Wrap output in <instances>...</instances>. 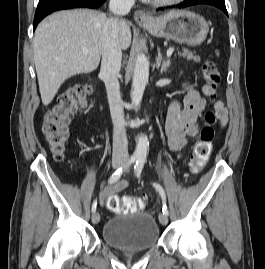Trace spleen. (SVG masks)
Here are the masks:
<instances>
[{"instance_id":"spleen-1","label":"spleen","mask_w":265,"mask_h":269,"mask_svg":"<svg viewBox=\"0 0 265 269\" xmlns=\"http://www.w3.org/2000/svg\"><path fill=\"white\" fill-rule=\"evenodd\" d=\"M216 55L219 56V53L216 51Z\"/></svg>"}]
</instances>
